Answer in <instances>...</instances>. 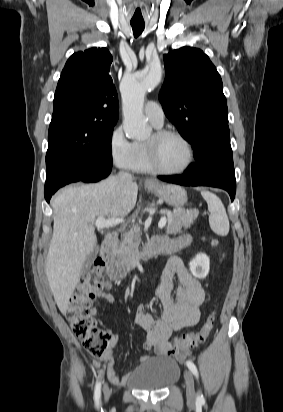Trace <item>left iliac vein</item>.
Wrapping results in <instances>:
<instances>
[{
    "label": "left iliac vein",
    "mask_w": 283,
    "mask_h": 412,
    "mask_svg": "<svg viewBox=\"0 0 283 412\" xmlns=\"http://www.w3.org/2000/svg\"><path fill=\"white\" fill-rule=\"evenodd\" d=\"M185 383H186V396L189 402H194L196 400V391L194 384V377L189 370L184 373Z\"/></svg>",
    "instance_id": "4c4485c4"
}]
</instances>
